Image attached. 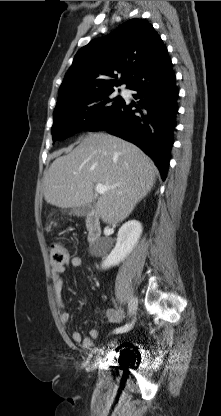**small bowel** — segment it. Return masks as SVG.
Wrapping results in <instances>:
<instances>
[{
    "label": "small bowel",
    "mask_w": 221,
    "mask_h": 416,
    "mask_svg": "<svg viewBox=\"0 0 221 416\" xmlns=\"http://www.w3.org/2000/svg\"><path fill=\"white\" fill-rule=\"evenodd\" d=\"M70 264L75 267H81L83 265V258L75 255L70 258ZM65 265H52L51 274L53 280V289L55 298L60 309V317L62 322L67 323L70 320V314L65 309V303L63 300V274L65 273ZM106 321L111 323H121L124 319V314L117 308H109L103 312ZM100 337L98 329L93 328L89 332V336L83 337L78 331L71 333V339L73 342L80 344L85 349H92L95 346V341Z\"/></svg>",
    "instance_id": "obj_1"
}]
</instances>
